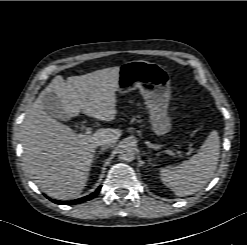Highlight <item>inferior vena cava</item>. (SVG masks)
<instances>
[{
  "label": "inferior vena cava",
  "instance_id": "1",
  "mask_svg": "<svg viewBox=\"0 0 247 245\" xmlns=\"http://www.w3.org/2000/svg\"><path fill=\"white\" fill-rule=\"evenodd\" d=\"M110 142L109 141H101L100 143H99V145L98 146H100L101 147V149H106V148H108V147H110Z\"/></svg>",
  "mask_w": 247,
  "mask_h": 245
}]
</instances>
